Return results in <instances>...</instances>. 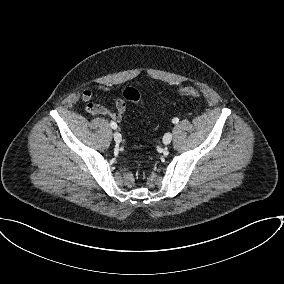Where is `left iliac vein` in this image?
<instances>
[{
  "mask_svg": "<svg viewBox=\"0 0 284 284\" xmlns=\"http://www.w3.org/2000/svg\"><path fill=\"white\" fill-rule=\"evenodd\" d=\"M172 140V134L170 132L166 133L163 137V143L168 145Z\"/></svg>",
  "mask_w": 284,
  "mask_h": 284,
  "instance_id": "1",
  "label": "left iliac vein"
}]
</instances>
